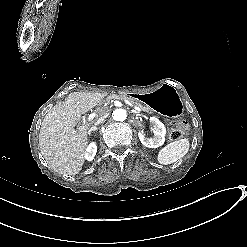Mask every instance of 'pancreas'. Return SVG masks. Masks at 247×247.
<instances>
[{"label":"pancreas","mask_w":247,"mask_h":247,"mask_svg":"<svg viewBox=\"0 0 247 247\" xmlns=\"http://www.w3.org/2000/svg\"><path fill=\"white\" fill-rule=\"evenodd\" d=\"M109 98H117L122 100H128L130 103H133L134 106H138L141 108V110H146V112L151 113V115H154L155 117H158V113L151 112V110L147 107L146 104H142L141 102H138V100H135L129 96L124 95L123 93L116 94V95H109Z\"/></svg>","instance_id":"pancreas-1"}]
</instances>
